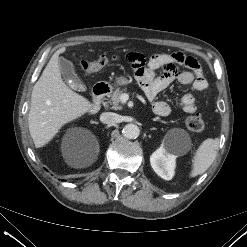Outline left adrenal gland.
<instances>
[{"mask_svg":"<svg viewBox=\"0 0 247 247\" xmlns=\"http://www.w3.org/2000/svg\"><path fill=\"white\" fill-rule=\"evenodd\" d=\"M151 130H156V128H151Z\"/></svg>","mask_w":247,"mask_h":247,"instance_id":"1","label":"left adrenal gland"}]
</instances>
